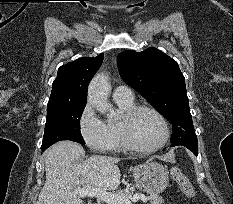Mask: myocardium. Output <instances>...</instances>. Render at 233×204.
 <instances>
[{"instance_id":"obj_1","label":"myocardium","mask_w":233,"mask_h":204,"mask_svg":"<svg viewBox=\"0 0 233 204\" xmlns=\"http://www.w3.org/2000/svg\"><path fill=\"white\" fill-rule=\"evenodd\" d=\"M142 111H148L154 114L159 119V121L163 126V130H164L163 138L160 141V143H158L154 147H150V148L141 147L133 139L132 131H131L132 122L134 118ZM118 126L124 146L127 149L137 153H143V154L154 153L162 149L170 139V128L166 118L159 110L149 105H134L130 109L123 112L120 121L118 122Z\"/></svg>"}]
</instances>
